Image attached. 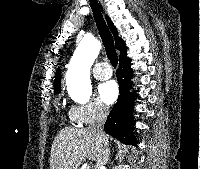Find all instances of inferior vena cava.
Returning a JSON list of instances; mask_svg holds the SVG:
<instances>
[{
  "label": "inferior vena cava",
  "mask_w": 200,
  "mask_h": 169,
  "mask_svg": "<svg viewBox=\"0 0 200 169\" xmlns=\"http://www.w3.org/2000/svg\"><path fill=\"white\" fill-rule=\"evenodd\" d=\"M108 114H109L108 107L103 104H99L97 108L96 122L90 127V129L93 132L97 133L100 137H104L103 127ZM108 157H109V148H108V143L105 141L102 145V157L97 161V166L101 167L106 165V163L108 162Z\"/></svg>",
  "instance_id": "1"
}]
</instances>
